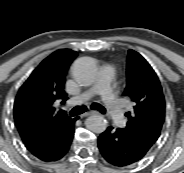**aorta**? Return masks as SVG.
<instances>
[{
  "label": "aorta",
  "mask_w": 184,
  "mask_h": 173,
  "mask_svg": "<svg viewBox=\"0 0 184 173\" xmlns=\"http://www.w3.org/2000/svg\"><path fill=\"white\" fill-rule=\"evenodd\" d=\"M75 71L78 80L84 85L93 84L97 76L96 67L90 60L77 63ZM87 126L95 133H102L107 129L108 122L102 115H93L87 119Z\"/></svg>",
  "instance_id": "aorta-1"
}]
</instances>
